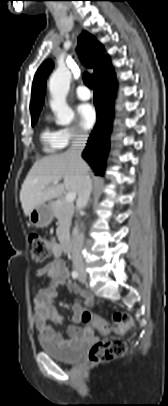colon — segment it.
Wrapping results in <instances>:
<instances>
[{"instance_id": "colon-1", "label": "colon", "mask_w": 168, "mask_h": 406, "mask_svg": "<svg viewBox=\"0 0 168 406\" xmlns=\"http://www.w3.org/2000/svg\"><path fill=\"white\" fill-rule=\"evenodd\" d=\"M28 245L31 259L35 263L45 261L53 252V244L40 234H31L28 238ZM82 320L84 322L93 321L101 334L114 333L93 344L88 353L89 363L98 364L110 361L121 357L125 353L126 342L122 335L130 330L133 325V320L128 313L118 312L110 319H105L93 317L90 313L84 312Z\"/></svg>"}]
</instances>
